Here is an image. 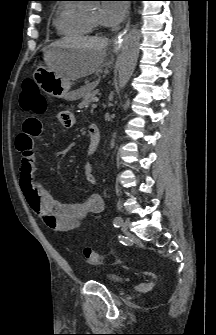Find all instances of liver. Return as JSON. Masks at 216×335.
<instances>
[{"mask_svg":"<svg viewBox=\"0 0 216 335\" xmlns=\"http://www.w3.org/2000/svg\"><path fill=\"white\" fill-rule=\"evenodd\" d=\"M52 46L72 47L77 49L62 74L71 80L86 77L99 71L106 56L108 39L100 37H65L52 43Z\"/></svg>","mask_w":216,"mask_h":335,"instance_id":"liver-1","label":"liver"}]
</instances>
